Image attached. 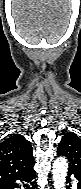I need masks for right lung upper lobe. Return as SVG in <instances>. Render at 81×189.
Here are the masks:
<instances>
[{"mask_svg":"<svg viewBox=\"0 0 81 189\" xmlns=\"http://www.w3.org/2000/svg\"><path fill=\"white\" fill-rule=\"evenodd\" d=\"M33 164L31 144L20 134L12 135L0 143V182L11 179Z\"/></svg>","mask_w":81,"mask_h":189,"instance_id":"obj_1","label":"right lung upper lobe"}]
</instances>
